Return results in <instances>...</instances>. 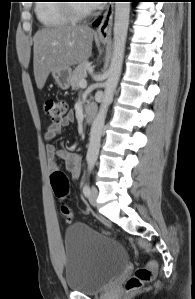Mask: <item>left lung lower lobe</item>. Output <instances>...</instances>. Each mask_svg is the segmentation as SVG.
Wrapping results in <instances>:
<instances>
[{"label":"left lung lower lobe","mask_w":195,"mask_h":299,"mask_svg":"<svg viewBox=\"0 0 195 299\" xmlns=\"http://www.w3.org/2000/svg\"><path fill=\"white\" fill-rule=\"evenodd\" d=\"M132 2H138L137 0H131ZM101 21V18L97 19L95 22H94V26H98L99 23Z\"/></svg>","instance_id":"0a47b994"}]
</instances>
